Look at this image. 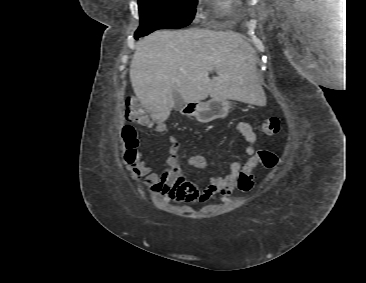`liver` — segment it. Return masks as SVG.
<instances>
[{"instance_id":"6515ba94","label":"liver","mask_w":366,"mask_h":283,"mask_svg":"<svg viewBox=\"0 0 366 283\" xmlns=\"http://www.w3.org/2000/svg\"><path fill=\"white\" fill-rule=\"evenodd\" d=\"M216 77H209L211 71ZM137 99L153 121L164 122L175 106L208 96L261 106L264 91L256 74V52L232 31L158 30L141 39L130 64Z\"/></svg>"}]
</instances>
